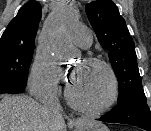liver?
<instances>
[{
	"instance_id": "1",
	"label": "liver",
	"mask_w": 151,
	"mask_h": 131,
	"mask_svg": "<svg viewBox=\"0 0 151 131\" xmlns=\"http://www.w3.org/2000/svg\"><path fill=\"white\" fill-rule=\"evenodd\" d=\"M59 113L47 111L28 96H4L0 101V131H63Z\"/></svg>"
}]
</instances>
